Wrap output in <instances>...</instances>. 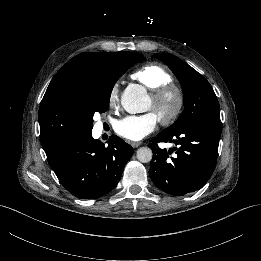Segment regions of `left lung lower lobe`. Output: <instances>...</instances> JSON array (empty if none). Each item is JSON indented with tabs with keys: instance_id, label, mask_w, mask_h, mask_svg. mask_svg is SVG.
I'll use <instances>...</instances> for the list:
<instances>
[{
	"instance_id": "obj_1",
	"label": "left lung lower lobe",
	"mask_w": 261,
	"mask_h": 261,
	"mask_svg": "<svg viewBox=\"0 0 261 261\" xmlns=\"http://www.w3.org/2000/svg\"><path fill=\"white\" fill-rule=\"evenodd\" d=\"M221 126L209 122L192 124L175 135L160 132L149 146L153 151L149 175L162 191L182 196L202 188L211 177L218 154ZM173 142L178 148L160 149L156 143ZM171 151V152H170Z\"/></svg>"
}]
</instances>
